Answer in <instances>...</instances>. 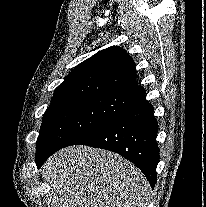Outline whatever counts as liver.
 I'll list each match as a JSON object with an SVG mask.
<instances>
[{
	"label": "liver",
	"instance_id": "6515ba94",
	"mask_svg": "<svg viewBox=\"0 0 206 207\" xmlns=\"http://www.w3.org/2000/svg\"><path fill=\"white\" fill-rule=\"evenodd\" d=\"M41 173L57 194L58 207H147L150 185L120 155L70 146L51 156Z\"/></svg>",
	"mask_w": 206,
	"mask_h": 207
}]
</instances>
